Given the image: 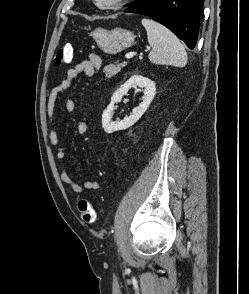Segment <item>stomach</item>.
<instances>
[{"mask_svg": "<svg viewBox=\"0 0 249 294\" xmlns=\"http://www.w3.org/2000/svg\"><path fill=\"white\" fill-rule=\"evenodd\" d=\"M93 39L99 48L108 54H116L133 45L135 35L122 28H115L111 31L97 28L92 32Z\"/></svg>", "mask_w": 249, "mask_h": 294, "instance_id": "0dacf381", "label": "stomach"}]
</instances>
